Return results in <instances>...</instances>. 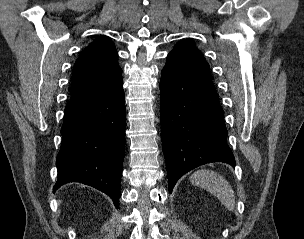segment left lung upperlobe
<instances>
[{
	"label": "left lung upper lobe",
	"instance_id": "left-lung-upper-lobe-1",
	"mask_svg": "<svg viewBox=\"0 0 304 239\" xmlns=\"http://www.w3.org/2000/svg\"><path fill=\"white\" fill-rule=\"evenodd\" d=\"M169 54L179 58L181 62L193 71L211 78L209 64L201 52L190 42H178Z\"/></svg>",
	"mask_w": 304,
	"mask_h": 239
}]
</instances>
